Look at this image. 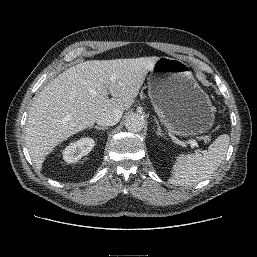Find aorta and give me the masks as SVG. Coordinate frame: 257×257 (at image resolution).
<instances>
[{
  "label": "aorta",
  "instance_id": "obj_1",
  "mask_svg": "<svg viewBox=\"0 0 257 257\" xmlns=\"http://www.w3.org/2000/svg\"><path fill=\"white\" fill-rule=\"evenodd\" d=\"M125 127L130 132H140L144 127V119L138 113H131L125 119Z\"/></svg>",
  "mask_w": 257,
  "mask_h": 257
}]
</instances>
